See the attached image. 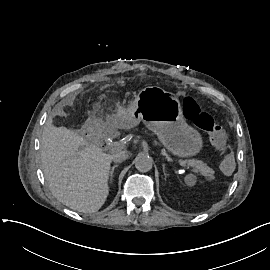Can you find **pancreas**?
<instances>
[{
	"mask_svg": "<svg viewBox=\"0 0 270 270\" xmlns=\"http://www.w3.org/2000/svg\"><path fill=\"white\" fill-rule=\"evenodd\" d=\"M189 166L193 167L195 172H199L204 177H208V180L215 179L214 170L210 168L206 163L202 161L189 160L186 162Z\"/></svg>",
	"mask_w": 270,
	"mask_h": 270,
	"instance_id": "obj_1",
	"label": "pancreas"
}]
</instances>
